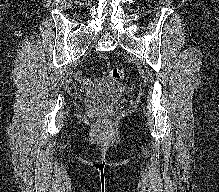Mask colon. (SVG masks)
Wrapping results in <instances>:
<instances>
[{
    "label": "colon",
    "instance_id": "1",
    "mask_svg": "<svg viewBox=\"0 0 219 192\" xmlns=\"http://www.w3.org/2000/svg\"><path fill=\"white\" fill-rule=\"evenodd\" d=\"M110 77L113 80H122L125 77V71L122 68H112L110 70ZM97 123L99 126H107L108 119L105 116H100L97 118Z\"/></svg>",
    "mask_w": 219,
    "mask_h": 192
}]
</instances>
